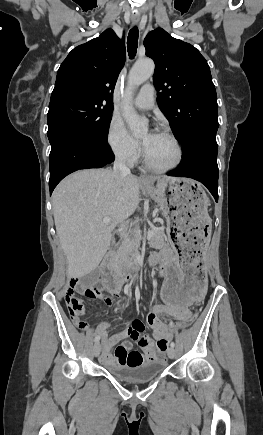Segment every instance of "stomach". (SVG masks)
Listing matches in <instances>:
<instances>
[{"label":"stomach","mask_w":263,"mask_h":435,"mask_svg":"<svg viewBox=\"0 0 263 435\" xmlns=\"http://www.w3.org/2000/svg\"><path fill=\"white\" fill-rule=\"evenodd\" d=\"M154 179L145 184L166 219L174 257L161 261L157 297L161 305H201L209 271L203 268L211 246L213 218L208 216V197L201 185L188 178Z\"/></svg>","instance_id":"0dacf381"}]
</instances>
